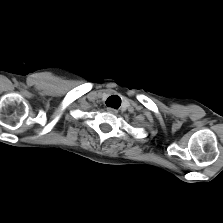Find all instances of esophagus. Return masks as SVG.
<instances>
[{"label": "esophagus", "instance_id": "34e87169", "mask_svg": "<svg viewBox=\"0 0 223 223\" xmlns=\"http://www.w3.org/2000/svg\"><path fill=\"white\" fill-rule=\"evenodd\" d=\"M107 111L113 113V114H117L118 110L114 109V108H107Z\"/></svg>", "mask_w": 223, "mask_h": 223}]
</instances>
